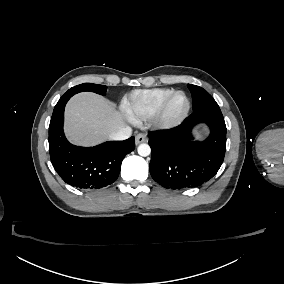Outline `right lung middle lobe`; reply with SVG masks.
I'll return each mask as SVG.
<instances>
[{"mask_svg": "<svg viewBox=\"0 0 284 284\" xmlns=\"http://www.w3.org/2000/svg\"><path fill=\"white\" fill-rule=\"evenodd\" d=\"M107 87L104 85L92 84V83H83L77 86L72 87L69 89L61 98L66 96H73L76 93L83 92V91H91L101 95L106 94Z\"/></svg>", "mask_w": 284, "mask_h": 284, "instance_id": "obj_1", "label": "right lung middle lobe"}]
</instances>
